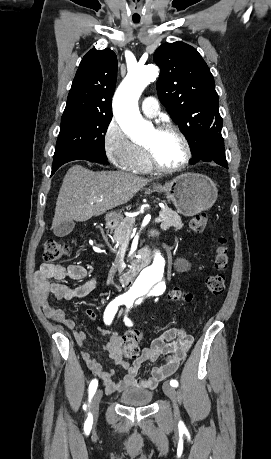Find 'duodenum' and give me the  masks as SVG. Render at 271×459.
I'll use <instances>...</instances> for the list:
<instances>
[{"instance_id": "1", "label": "duodenum", "mask_w": 271, "mask_h": 459, "mask_svg": "<svg viewBox=\"0 0 271 459\" xmlns=\"http://www.w3.org/2000/svg\"><path fill=\"white\" fill-rule=\"evenodd\" d=\"M115 224H116L115 219L113 217H109L107 220V226L109 228H113ZM145 265H146L145 256H140L136 258L131 268L127 272L121 275L120 277L121 283L124 285L131 284V282L134 280L137 274L144 268Z\"/></svg>"}]
</instances>
